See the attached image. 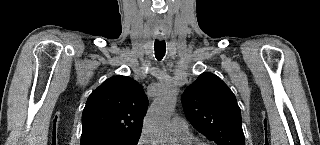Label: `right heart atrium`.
<instances>
[{"instance_id": "right-heart-atrium-1", "label": "right heart atrium", "mask_w": 320, "mask_h": 145, "mask_svg": "<svg viewBox=\"0 0 320 145\" xmlns=\"http://www.w3.org/2000/svg\"><path fill=\"white\" fill-rule=\"evenodd\" d=\"M137 145H151V143L144 134H141L137 140Z\"/></svg>"}]
</instances>
